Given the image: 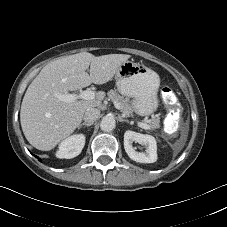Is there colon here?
<instances>
[{
  "instance_id": "1",
  "label": "colon",
  "mask_w": 227,
  "mask_h": 227,
  "mask_svg": "<svg viewBox=\"0 0 227 227\" xmlns=\"http://www.w3.org/2000/svg\"><path fill=\"white\" fill-rule=\"evenodd\" d=\"M160 94L161 98L168 104L175 106L179 105L177 96L175 95L174 91L171 88L163 87L160 91Z\"/></svg>"
}]
</instances>
